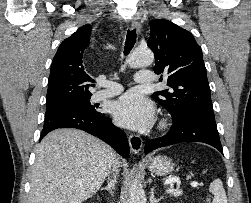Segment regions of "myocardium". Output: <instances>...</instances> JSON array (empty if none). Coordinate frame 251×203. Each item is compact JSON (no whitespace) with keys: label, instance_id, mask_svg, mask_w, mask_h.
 <instances>
[{"label":"myocardium","instance_id":"f54148a6","mask_svg":"<svg viewBox=\"0 0 251 203\" xmlns=\"http://www.w3.org/2000/svg\"><path fill=\"white\" fill-rule=\"evenodd\" d=\"M168 125V120L167 119H162L161 122L159 123V128L164 129Z\"/></svg>","mask_w":251,"mask_h":203}]
</instances>
